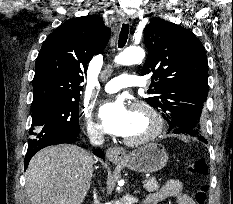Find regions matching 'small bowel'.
<instances>
[{"mask_svg": "<svg viewBox=\"0 0 233 204\" xmlns=\"http://www.w3.org/2000/svg\"><path fill=\"white\" fill-rule=\"evenodd\" d=\"M169 198L174 199L176 204H195L194 200L183 192L179 180L167 181L158 192L147 197L145 204H159Z\"/></svg>", "mask_w": 233, "mask_h": 204, "instance_id": "obj_1", "label": "small bowel"}]
</instances>
